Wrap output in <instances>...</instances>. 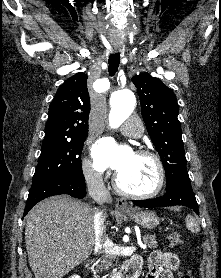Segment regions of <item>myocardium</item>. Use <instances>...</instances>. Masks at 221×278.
Masks as SVG:
<instances>
[{
	"label": "myocardium",
	"mask_w": 221,
	"mask_h": 278,
	"mask_svg": "<svg viewBox=\"0 0 221 278\" xmlns=\"http://www.w3.org/2000/svg\"><path fill=\"white\" fill-rule=\"evenodd\" d=\"M134 153L137 155L147 156L154 160L158 170V181L156 187L149 192H143V193L127 190L121 186L119 182L118 174H116L113 178V186L120 194L129 198L148 199V198L156 197L163 190L166 181V172H165L164 164L161 158L156 153L148 149H137Z\"/></svg>",
	"instance_id": "1"
}]
</instances>
